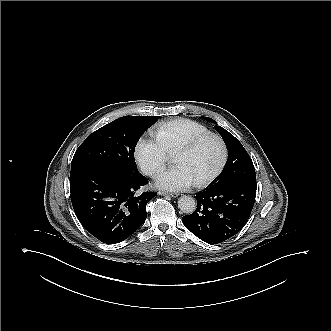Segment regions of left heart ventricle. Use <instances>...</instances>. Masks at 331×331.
<instances>
[{
  "instance_id": "left-heart-ventricle-1",
  "label": "left heart ventricle",
  "mask_w": 331,
  "mask_h": 331,
  "mask_svg": "<svg viewBox=\"0 0 331 331\" xmlns=\"http://www.w3.org/2000/svg\"><path fill=\"white\" fill-rule=\"evenodd\" d=\"M219 157L217 143L209 140L186 154L180 160V165L196 180L210 174L218 164Z\"/></svg>"
}]
</instances>
